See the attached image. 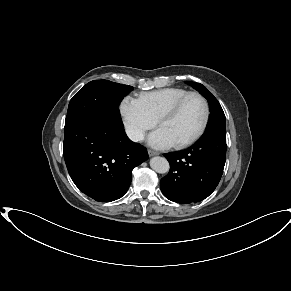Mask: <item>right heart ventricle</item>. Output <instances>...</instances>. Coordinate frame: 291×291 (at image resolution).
Returning <instances> with one entry per match:
<instances>
[{"instance_id": "obj_1", "label": "right heart ventricle", "mask_w": 291, "mask_h": 291, "mask_svg": "<svg viewBox=\"0 0 291 291\" xmlns=\"http://www.w3.org/2000/svg\"><path fill=\"white\" fill-rule=\"evenodd\" d=\"M189 93L182 88H163L139 95V100L155 121L180 98Z\"/></svg>"}]
</instances>
